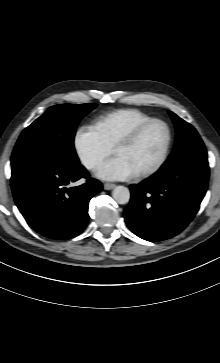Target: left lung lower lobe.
Returning a JSON list of instances; mask_svg holds the SVG:
<instances>
[{
  "label": "left lung lower lobe",
  "instance_id": "0a47b994",
  "mask_svg": "<svg viewBox=\"0 0 220 363\" xmlns=\"http://www.w3.org/2000/svg\"><path fill=\"white\" fill-rule=\"evenodd\" d=\"M209 178L207 153H192L173 162L138 185L124 210L130 230L147 241L180 233L197 213Z\"/></svg>",
  "mask_w": 220,
  "mask_h": 363
}]
</instances>
